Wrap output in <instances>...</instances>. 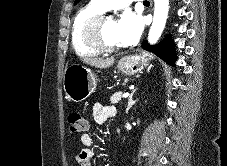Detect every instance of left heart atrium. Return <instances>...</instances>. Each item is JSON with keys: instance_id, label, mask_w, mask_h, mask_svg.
I'll list each match as a JSON object with an SVG mask.
<instances>
[{"instance_id": "obj_1", "label": "left heart atrium", "mask_w": 227, "mask_h": 166, "mask_svg": "<svg viewBox=\"0 0 227 166\" xmlns=\"http://www.w3.org/2000/svg\"><path fill=\"white\" fill-rule=\"evenodd\" d=\"M144 23L142 17L134 12L127 11L117 22L118 38L123 44H131L139 37Z\"/></svg>"}]
</instances>
